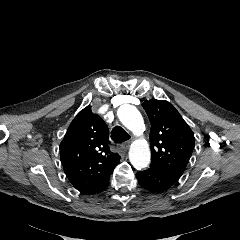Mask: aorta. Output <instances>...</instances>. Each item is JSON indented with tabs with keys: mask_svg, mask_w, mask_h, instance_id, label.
I'll return each mask as SVG.
<instances>
[{
	"mask_svg": "<svg viewBox=\"0 0 240 240\" xmlns=\"http://www.w3.org/2000/svg\"><path fill=\"white\" fill-rule=\"evenodd\" d=\"M121 123L135 135H141L144 131V121L141 113L133 105H122L117 112ZM150 149L146 142L136 140L131 144L129 159L136 169L146 168L150 163Z\"/></svg>",
	"mask_w": 240,
	"mask_h": 240,
	"instance_id": "aorta-1",
	"label": "aorta"
}]
</instances>
